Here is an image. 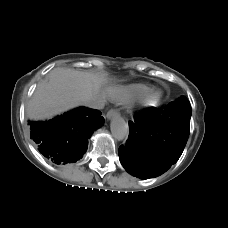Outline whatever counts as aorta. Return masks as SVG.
<instances>
[{
	"mask_svg": "<svg viewBox=\"0 0 228 228\" xmlns=\"http://www.w3.org/2000/svg\"><path fill=\"white\" fill-rule=\"evenodd\" d=\"M113 137L117 140H123L129 135V128L125 120L120 116H115L110 124Z\"/></svg>",
	"mask_w": 228,
	"mask_h": 228,
	"instance_id": "obj_1",
	"label": "aorta"
}]
</instances>
